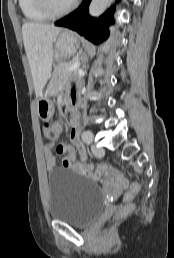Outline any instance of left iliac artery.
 Segmentation results:
<instances>
[{
    "label": "left iliac artery",
    "instance_id": "44dca946",
    "mask_svg": "<svg viewBox=\"0 0 174 258\" xmlns=\"http://www.w3.org/2000/svg\"><path fill=\"white\" fill-rule=\"evenodd\" d=\"M82 139L85 143L87 144H90L92 143V140H93V134L91 131L87 130V131H84L83 134H82Z\"/></svg>",
    "mask_w": 174,
    "mask_h": 258
}]
</instances>
